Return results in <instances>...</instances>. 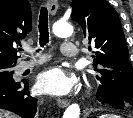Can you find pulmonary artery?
<instances>
[{"mask_svg":"<svg viewBox=\"0 0 133 118\" xmlns=\"http://www.w3.org/2000/svg\"><path fill=\"white\" fill-rule=\"evenodd\" d=\"M27 51H31V50L27 49ZM61 52H62V55L65 57H75L78 53V48L74 43L70 41H64L61 44ZM45 60L46 58L41 56L39 59L35 61H26V60L20 61L16 66V72L21 73L29 68L34 67L37 64L44 62Z\"/></svg>","mask_w":133,"mask_h":118,"instance_id":"obj_1","label":"pulmonary artery"}]
</instances>
